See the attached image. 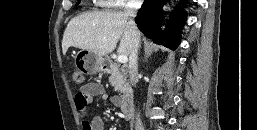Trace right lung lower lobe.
<instances>
[{
	"label": "right lung lower lobe",
	"mask_w": 257,
	"mask_h": 130,
	"mask_svg": "<svg viewBox=\"0 0 257 130\" xmlns=\"http://www.w3.org/2000/svg\"><path fill=\"white\" fill-rule=\"evenodd\" d=\"M166 0H145L135 18L139 29L157 44L175 49L180 43V33L186 20L182 10H176L168 21L166 29L161 31L159 22L162 17L161 8Z\"/></svg>",
	"instance_id": "obj_1"
}]
</instances>
